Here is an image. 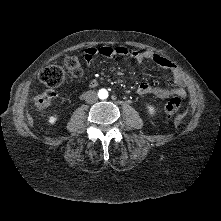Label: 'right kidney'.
I'll return each instance as SVG.
<instances>
[{"instance_id":"ca27d5eb","label":"right kidney","mask_w":221,"mask_h":221,"mask_svg":"<svg viewBox=\"0 0 221 221\" xmlns=\"http://www.w3.org/2000/svg\"><path fill=\"white\" fill-rule=\"evenodd\" d=\"M58 120V115L57 114H54L53 116H50L49 118H48V123L50 124V125H53V124H55L56 123V121Z\"/></svg>"}]
</instances>
